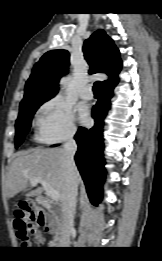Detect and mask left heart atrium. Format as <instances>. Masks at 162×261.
Returning <instances> with one entry per match:
<instances>
[{"instance_id": "left-heart-atrium-1", "label": "left heart atrium", "mask_w": 162, "mask_h": 261, "mask_svg": "<svg viewBox=\"0 0 162 261\" xmlns=\"http://www.w3.org/2000/svg\"><path fill=\"white\" fill-rule=\"evenodd\" d=\"M80 116L84 122L88 119V111L83 107L80 108Z\"/></svg>"}]
</instances>
